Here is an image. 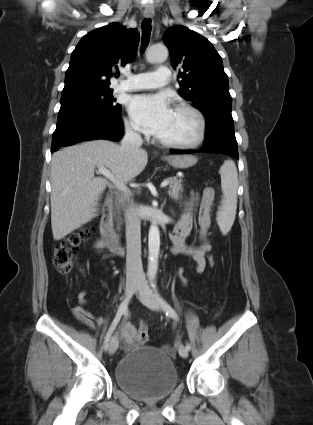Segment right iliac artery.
Returning <instances> with one entry per match:
<instances>
[{"label":"right iliac artery","instance_id":"82829eb1","mask_svg":"<svg viewBox=\"0 0 313 425\" xmlns=\"http://www.w3.org/2000/svg\"><path fill=\"white\" fill-rule=\"evenodd\" d=\"M128 302H129V300H128V299H125V300H124V301L120 304V306H119V308H118V311H117V313H116V316H115V318H114L113 322L111 323V325H110V327H109V329H108V332H107V334H106V336H105L104 346H103L105 350H107V348H108V346H109V341H110V338H111V336H112V333H113V332H114V330L116 329V327H117L118 323L120 322V320H121V318H122L123 314H125V313H126V311H127V308H128Z\"/></svg>","mask_w":313,"mask_h":425}]
</instances>
